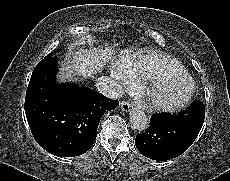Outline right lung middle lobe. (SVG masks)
<instances>
[{
  "label": "right lung middle lobe",
  "mask_w": 230,
  "mask_h": 181,
  "mask_svg": "<svg viewBox=\"0 0 230 181\" xmlns=\"http://www.w3.org/2000/svg\"><path fill=\"white\" fill-rule=\"evenodd\" d=\"M51 56H52V55L49 54V55L46 56V58H47V57H51Z\"/></svg>",
  "instance_id": "right-lung-middle-lobe-1"
}]
</instances>
